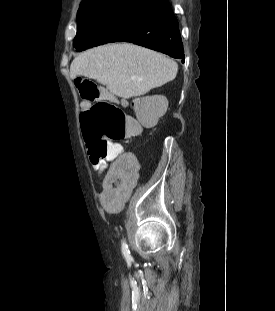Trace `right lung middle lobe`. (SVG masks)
Segmentation results:
<instances>
[{"label":"right lung middle lobe","instance_id":"dd1d6c3e","mask_svg":"<svg viewBox=\"0 0 275 311\" xmlns=\"http://www.w3.org/2000/svg\"><path fill=\"white\" fill-rule=\"evenodd\" d=\"M163 5L150 0H84L73 45L83 51L119 41L136 22Z\"/></svg>","mask_w":275,"mask_h":311}]
</instances>
